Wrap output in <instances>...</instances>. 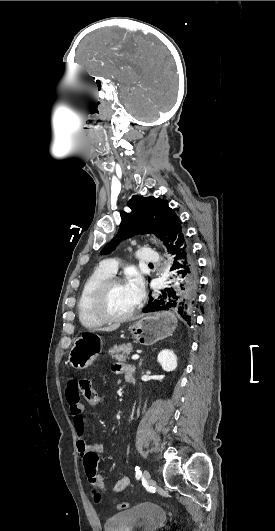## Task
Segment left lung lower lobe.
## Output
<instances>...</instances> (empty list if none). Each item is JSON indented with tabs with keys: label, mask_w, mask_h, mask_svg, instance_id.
<instances>
[{
	"label": "left lung lower lobe",
	"mask_w": 275,
	"mask_h": 531,
	"mask_svg": "<svg viewBox=\"0 0 275 531\" xmlns=\"http://www.w3.org/2000/svg\"><path fill=\"white\" fill-rule=\"evenodd\" d=\"M173 257V278L167 288L153 301L150 298L144 312L170 310L178 313L188 324L194 315L197 300V261L192 246L178 223L166 244Z\"/></svg>",
	"instance_id": "1"
}]
</instances>
